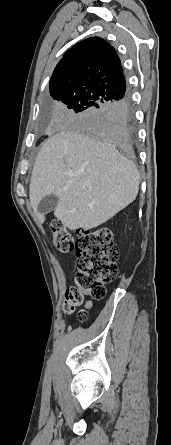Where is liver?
<instances>
[{
	"mask_svg": "<svg viewBox=\"0 0 171 445\" xmlns=\"http://www.w3.org/2000/svg\"><path fill=\"white\" fill-rule=\"evenodd\" d=\"M140 184L136 165L110 143L62 129L43 144L32 171L29 198L38 204L53 194L54 216L70 230L92 229L133 202Z\"/></svg>",
	"mask_w": 171,
	"mask_h": 445,
	"instance_id": "obj_1",
	"label": "liver"
}]
</instances>
